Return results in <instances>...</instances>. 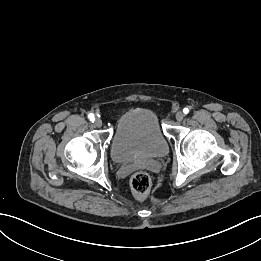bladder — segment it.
I'll list each match as a JSON object with an SVG mask.
<instances>
[{
    "mask_svg": "<svg viewBox=\"0 0 261 261\" xmlns=\"http://www.w3.org/2000/svg\"><path fill=\"white\" fill-rule=\"evenodd\" d=\"M168 149V140L156 113L146 108H135L118 119L110 156L116 163H125L138 158L161 157Z\"/></svg>",
    "mask_w": 261,
    "mask_h": 261,
    "instance_id": "31cf9c89",
    "label": "bladder"
}]
</instances>
